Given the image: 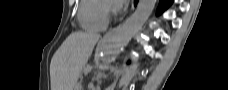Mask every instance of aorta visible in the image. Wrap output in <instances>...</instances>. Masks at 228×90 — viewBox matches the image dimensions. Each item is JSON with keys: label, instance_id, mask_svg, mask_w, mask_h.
I'll list each match as a JSON object with an SVG mask.
<instances>
[{"label": "aorta", "instance_id": "1", "mask_svg": "<svg viewBox=\"0 0 228 90\" xmlns=\"http://www.w3.org/2000/svg\"><path fill=\"white\" fill-rule=\"evenodd\" d=\"M155 2L156 0H139L132 16L107 38L101 54L103 64H109L117 58L122 48L129 43L148 20L154 9Z\"/></svg>", "mask_w": 228, "mask_h": 90}]
</instances>
